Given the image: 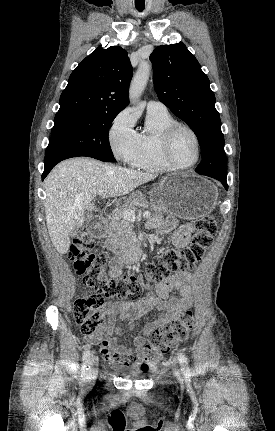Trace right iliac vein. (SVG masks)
<instances>
[{
    "instance_id": "obj_1",
    "label": "right iliac vein",
    "mask_w": 275,
    "mask_h": 431,
    "mask_svg": "<svg viewBox=\"0 0 275 431\" xmlns=\"http://www.w3.org/2000/svg\"><path fill=\"white\" fill-rule=\"evenodd\" d=\"M97 372V359L95 356H92L89 361L88 375L90 378H94L96 377Z\"/></svg>"
}]
</instances>
